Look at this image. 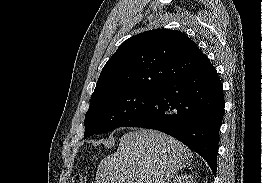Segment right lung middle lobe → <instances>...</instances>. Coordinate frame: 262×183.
I'll return each mask as SVG.
<instances>
[{"label": "right lung middle lobe", "instance_id": "1", "mask_svg": "<svg viewBox=\"0 0 262 183\" xmlns=\"http://www.w3.org/2000/svg\"><path fill=\"white\" fill-rule=\"evenodd\" d=\"M157 90L132 88L92 98L85 115L84 138L125 126L148 107Z\"/></svg>", "mask_w": 262, "mask_h": 183}]
</instances>
